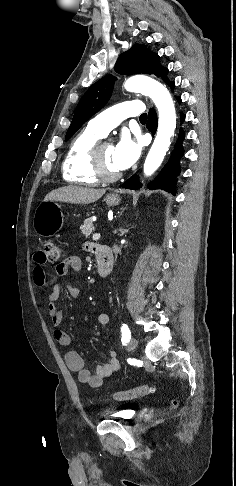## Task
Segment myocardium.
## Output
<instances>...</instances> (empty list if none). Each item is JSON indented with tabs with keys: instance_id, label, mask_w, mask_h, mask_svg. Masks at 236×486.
Here are the masks:
<instances>
[{
	"instance_id": "f54148a6",
	"label": "myocardium",
	"mask_w": 236,
	"mask_h": 486,
	"mask_svg": "<svg viewBox=\"0 0 236 486\" xmlns=\"http://www.w3.org/2000/svg\"><path fill=\"white\" fill-rule=\"evenodd\" d=\"M105 143L96 142L90 152L91 171L99 182H114L121 177V172L110 173L106 170L101 157V148Z\"/></svg>"
}]
</instances>
